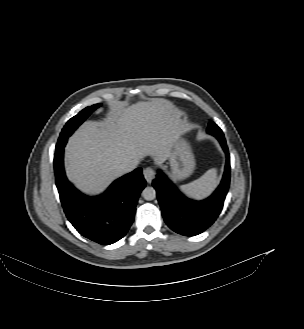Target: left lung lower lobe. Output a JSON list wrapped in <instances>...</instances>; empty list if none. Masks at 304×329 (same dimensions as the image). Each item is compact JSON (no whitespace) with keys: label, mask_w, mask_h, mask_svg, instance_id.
Returning a JSON list of instances; mask_svg holds the SVG:
<instances>
[{"label":"left lung lower lobe","mask_w":304,"mask_h":329,"mask_svg":"<svg viewBox=\"0 0 304 329\" xmlns=\"http://www.w3.org/2000/svg\"><path fill=\"white\" fill-rule=\"evenodd\" d=\"M207 132L215 136L226 154V166L222 181L215 192L203 201L186 198L165 176L158 171L152 184L166 224L175 232L194 236L205 231L219 216L230 183V156L222 130L214 123Z\"/></svg>","instance_id":"left-lung-lower-lobe-1"}]
</instances>
